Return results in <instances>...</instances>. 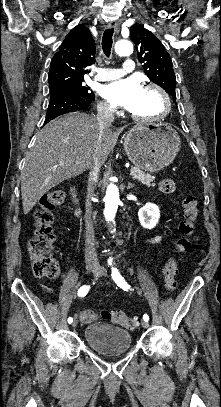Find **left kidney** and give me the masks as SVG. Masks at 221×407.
Wrapping results in <instances>:
<instances>
[{
    "label": "left kidney",
    "instance_id": "left-kidney-1",
    "mask_svg": "<svg viewBox=\"0 0 221 407\" xmlns=\"http://www.w3.org/2000/svg\"><path fill=\"white\" fill-rule=\"evenodd\" d=\"M140 224L145 229H153L160 218V210L158 206L153 203H146L138 211Z\"/></svg>",
    "mask_w": 221,
    "mask_h": 407
}]
</instances>
